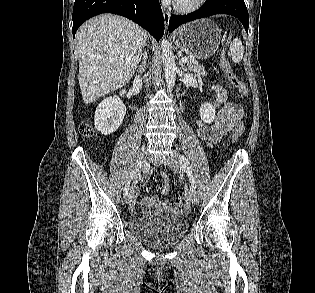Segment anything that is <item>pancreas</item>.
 Here are the masks:
<instances>
[{
	"label": "pancreas",
	"instance_id": "obj_1",
	"mask_svg": "<svg viewBox=\"0 0 315 293\" xmlns=\"http://www.w3.org/2000/svg\"><path fill=\"white\" fill-rule=\"evenodd\" d=\"M187 70L190 71L192 73V75L194 77H197L198 79L201 76H205L206 75V71L204 69L203 66L198 65L196 62L189 60L187 62Z\"/></svg>",
	"mask_w": 315,
	"mask_h": 293
}]
</instances>
